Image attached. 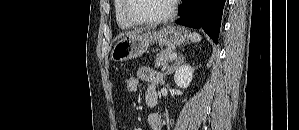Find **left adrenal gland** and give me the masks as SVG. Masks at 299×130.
I'll return each mask as SVG.
<instances>
[{"label":"left adrenal gland","mask_w":299,"mask_h":130,"mask_svg":"<svg viewBox=\"0 0 299 130\" xmlns=\"http://www.w3.org/2000/svg\"><path fill=\"white\" fill-rule=\"evenodd\" d=\"M184 61H185V57H184L182 54H180V55L178 56L176 66H178V65L181 64V63H183ZM174 70H175V67L172 68V69H169V70L165 73V75H169V74H171Z\"/></svg>","instance_id":"left-adrenal-gland-1"}]
</instances>
